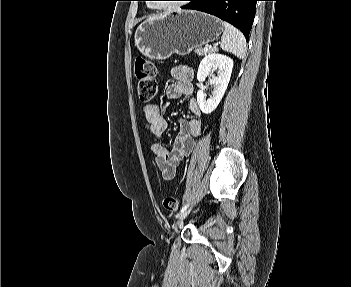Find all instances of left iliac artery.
Here are the masks:
<instances>
[{
    "instance_id": "44dca946",
    "label": "left iliac artery",
    "mask_w": 351,
    "mask_h": 287,
    "mask_svg": "<svg viewBox=\"0 0 351 287\" xmlns=\"http://www.w3.org/2000/svg\"><path fill=\"white\" fill-rule=\"evenodd\" d=\"M188 206H189V204H186V205L182 206V208H181V210H180V213H178V214L176 215V217H178L181 213H183V212L188 208Z\"/></svg>"
}]
</instances>
